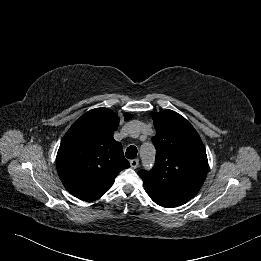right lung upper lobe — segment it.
<instances>
[{
  "label": "right lung upper lobe",
  "mask_w": 261,
  "mask_h": 261,
  "mask_svg": "<svg viewBox=\"0 0 261 261\" xmlns=\"http://www.w3.org/2000/svg\"><path fill=\"white\" fill-rule=\"evenodd\" d=\"M131 114L126 113L124 120ZM119 118L106 108L82 115L65 134L56 157L65 188L83 201H94L106 193L123 169L129 168L122 145L113 138Z\"/></svg>",
  "instance_id": "cb5924a9"
}]
</instances>
